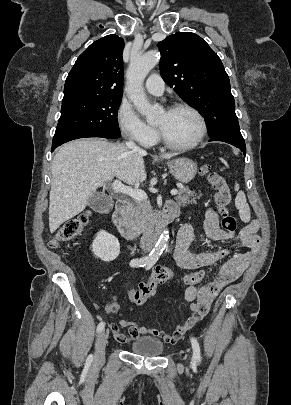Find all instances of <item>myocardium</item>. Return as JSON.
Returning a JSON list of instances; mask_svg holds the SVG:
<instances>
[{"instance_id": "obj_1", "label": "myocardium", "mask_w": 291, "mask_h": 405, "mask_svg": "<svg viewBox=\"0 0 291 405\" xmlns=\"http://www.w3.org/2000/svg\"><path fill=\"white\" fill-rule=\"evenodd\" d=\"M179 109H185L190 112H192L196 118L199 121L200 129L197 137L190 143L187 144H176L171 141H169L162 130L157 127V135L160 143L164 145L166 148L172 149V150H179V151H184V150H190L198 146L205 138L207 131H208V126L205 117L203 114L194 106L187 104V103H175L170 105L167 108V111H175Z\"/></svg>"}]
</instances>
